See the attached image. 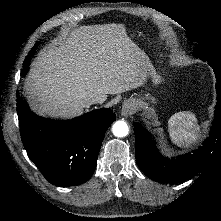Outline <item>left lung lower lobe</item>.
Instances as JSON below:
<instances>
[{
  "label": "left lung lower lobe",
  "instance_id": "0a47b994",
  "mask_svg": "<svg viewBox=\"0 0 221 221\" xmlns=\"http://www.w3.org/2000/svg\"><path fill=\"white\" fill-rule=\"evenodd\" d=\"M217 104L209 137L193 154L177 158H164L156 148L155 141L138 122L134 123L136 160L145 175L160 183H175L192 178L207 161L214 145L221 140V83L217 82ZM216 142V143H215Z\"/></svg>",
  "mask_w": 221,
  "mask_h": 221
}]
</instances>
